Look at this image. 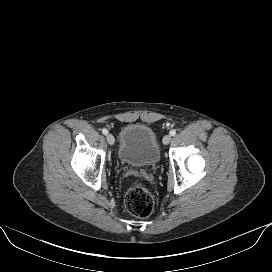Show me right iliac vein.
Wrapping results in <instances>:
<instances>
[{
	"mask_svg": "<svg viewBox=\"0 0 272 272\" xmlns=\"http://www.w3.org/2000/svg\"><path fill=\"white\" fill-rule=\"evenodd\" d=\"M106 139L109 145H113L115 142V138L112 134H107Z\"/></svg>",
	"mask_w": 272,
	"mask_h": 272,
	"instance_id": "63e3f726",
	"label": "right iliac vein"
}]
</instances>
